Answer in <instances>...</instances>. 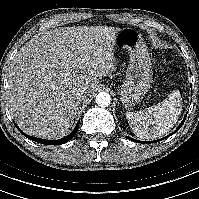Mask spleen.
Here are the masks:
<instances>
[{"mask_svg":"<svg viewBox=\"0 0 199 199\" xmlns=\"http://www.w3.org/2000/svg\"><path fill=\"white\" fill-rule=\"evenodd\" d=\"M182 111L179 91L143 111L127 112L126 119L133 132L141 139H156L167 134L177 123Z\"/></svg>","mask_w":199,"mask_h":199,"instance_id":"obj_1","label":"spleen"}]
</instances>
